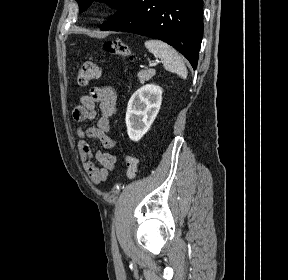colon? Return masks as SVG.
<instances>
[{
    "instance_id": "1",
    "label": "colon",
    "mask_w": 288,
    "mask_h": 280,
    "mask_svg": "<svg viewBox=\"0 0 288 280\" xmlns=\"http://www.w3.org/2000/svg\"><path fill=\"white\" fill-rule=\"evenodd\" d=\"M104 50L112 55L125 57L129 60H134V53L121 40H110L104 44ZM101 74V64L99 60L90 58L83 63L78 74V83L80 85H87L91 81L99 78ZM124 161L126 165V173L129 179L136 177L138 172V161L131 155H125Z\"/></svg>"
}]
</instances>
